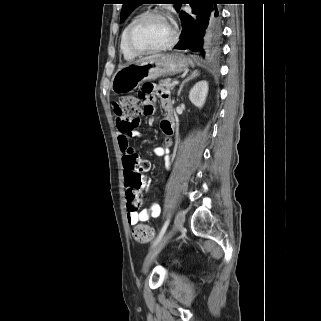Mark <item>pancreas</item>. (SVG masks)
Wrapping results in <instances>:
<instances>
[{"instance_id": "cf45deb5", "label": "pancreas", "mask_w": 321, "mask_h": 321, "mask_svg": "<svg viewBox=\"0 0 321 321\" xmlns=\"http://www.w3.org/2000/svg\"><path fill=\"white\" fill-rule=\"evenodd\" d=\"M159 86L160 87H165L168 90H172L174 88V85H173L172 80L170 78L164 79V80H160Z\"/></svg>"}]
</instances>
